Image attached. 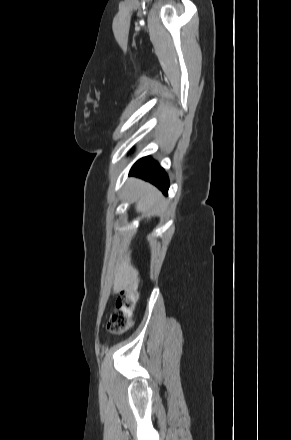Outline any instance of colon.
<instances>
[{
  "label": "colon",
  "mask_w": 291,
  "mask_h": 440,
  "mask_svg": "<svg viewBox=\"0 0 291 440\" xmlns=\"http://www.w3.org/2000/svg\"><path fill=\"white\" fill-rule=\"evenodd\" d=\"M138 289L135 285L124 288L118 298L117 308L110 316L108 329L113 334H123L131 327V317L135 312Z\"/></svg>",
  "instance_id": "1"
}]
</instances>
